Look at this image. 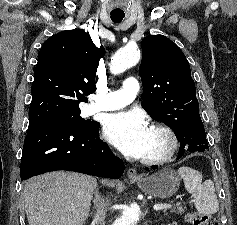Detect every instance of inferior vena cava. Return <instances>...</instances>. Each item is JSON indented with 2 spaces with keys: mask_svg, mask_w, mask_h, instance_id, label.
Instances as JSON below:
<instances>
[{
  "mask_svg": "<svg viewBox=\"0 0 237 225\" xmlns=\"http://www.w3.org/2000/svg\"><path fill=\"white\" fill-rule=\"evenodd\" d=\"M96 203V208H97V213L95 216V220L98 225H105V211L107 207L109 206V202H104L103 199H101L97 194H96V199L94 201Z\"/></svg>",
  "mask_w": 237,
  "mask_h": 225,
  "instance_id": "obj_1",
  "label": "inferior vena cava"
}]
</instances>
